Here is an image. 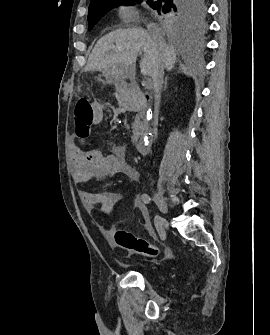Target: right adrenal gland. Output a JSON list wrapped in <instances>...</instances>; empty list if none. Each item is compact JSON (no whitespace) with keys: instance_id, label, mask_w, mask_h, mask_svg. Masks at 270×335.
<instances>
[{"instance_id":"obj_1","label":"right adrenal gland","mask_w":270,"mask_h":335,"mask_svg":"<svg viewBox=\"0 0 270 335\" xmlns=\"http://www.w3.org/2000/svg\"><path fill=\"white\" fill-rule=\"evenodd\" d=\"M167 82H168V78H165V82H164V92H165V90H166V88H167Z\"/></svg>"}]
</instances>
